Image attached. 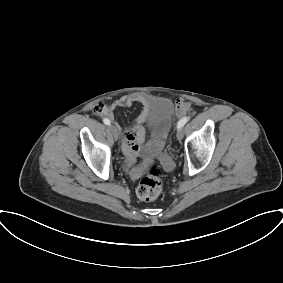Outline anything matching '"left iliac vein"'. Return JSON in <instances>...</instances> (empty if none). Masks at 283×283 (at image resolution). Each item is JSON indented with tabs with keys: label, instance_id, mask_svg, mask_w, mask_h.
Returning <instances> with one entry per match:
<instances>
[{
	"label": "left iliac vein",
	"instance_id": "4c4485c4",
	"mask_svg": "<svg viewBox=\"0 0 283 283\" xmlns=\"http://www.w3.org/2000/svg\"><path fill=\"white\" fill-rule=\"evenodd\" d=\"M183 137H184V132H183L182 129H179V130L177 131V139L180 141V140L183 139Z\"/></svg>",
	"mask_w": 283,
	"mask_h": 283
}]
</instances>
